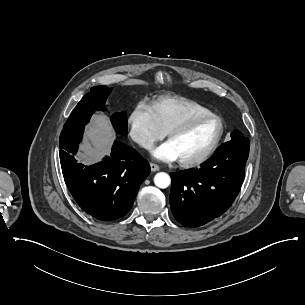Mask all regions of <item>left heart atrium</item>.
I'll use <instances>...</instances> for the list:
<instances>
[{"mask_svg":"<svg viewBox=\"0 0 305 305\" xmlns=\"http://www.w3.org/2000/svg\"><path fill=\"white\" fill-rule=\"evenodd\" d=\"M153 156L158 160L174 161L179 159L178 152L170 141H167L160 145L153 151Z\"/></svg>","mask_w":305,"mask_h":305,"instance_id":"obj_1","label":"left heart atrium"}]
</instances>
